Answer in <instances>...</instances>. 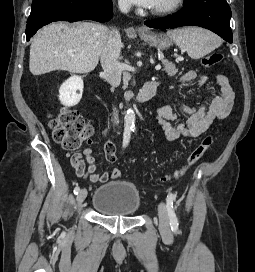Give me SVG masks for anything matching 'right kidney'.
Wrapping results in <instances>:
<instances>
[{
	"label": "right kidney",
	"instance_id": "right-kidney-1",
	"mask_svg": "<svg viewBox=\"0 0 255 272\" xmlns=\"http://www.w3.org/2000/svg\"><path fill=\"white\" fill-rule=\"evenodd\" d=\"M84 83L80 76H71L59 89V100L64 106L77 105L83 93Z\"/></svg>",
	"mask_w": 255,
	"mask_h": 272
}]
</instances>
